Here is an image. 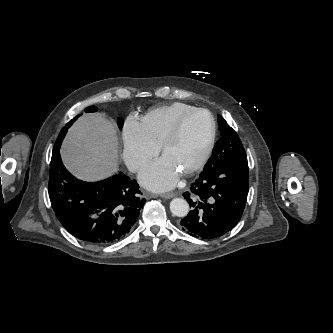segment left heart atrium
Masks as SVG:
<instances>
[{"instance_id": "1", "label": "left heart atrium", "mask_w": 333, "mask_h": 333, "mask_svg": "<svg viewBox=\"0 0 333 333\" xmlns=\"http://www.w3.org/2000/svg\"><path fill=\"white\" fill-rule=\"evenodd\" d=\"M180 172L166 158L162 157L148 165L140 173L141 183L157 192H162L173 188L178 182Z\"/></svg>"}]
</instances>
